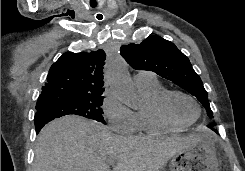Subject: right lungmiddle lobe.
Segmentation results:
<instances>
[{"label": "right lung middle lobe", "mask_w": 245, "mask_h": 171, "mask_svg": "<svg viewBox=\"0 0 245 171\" xmlns=\"http://www.w3.org/2000/svg\"><path fill=\"white\" fill-rule=\"evenodd\" d=\"M103 96L48 98L36 105L37 112H44L54 118L64 115H80L106 124L103 118Z\"/></svg>", "instance_id": "right-lung-middle-lobe-1"}]
</instances>
